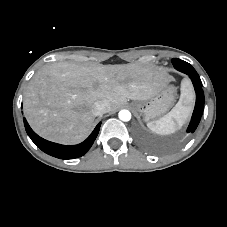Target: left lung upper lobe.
Wrapping results in <instances>:
<instances>
[{"instance_id":"1","label":"left lung upper lobe","mask_w":227,"mask_h":227,"mask_svg":"<svg viewBox=\"0 0 227 227\" xmlns=\"http://www.w3.org/2000/svg\"><path fill=\"white\" fill-rule=\"evenodd\" d=\"M185 63H187V62L180 60V59H177V58L172 59V64L175 68H176V66L182 65V64H185Z\"/></svg>"}]
</instances>
